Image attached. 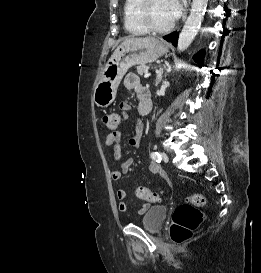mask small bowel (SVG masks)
Masks as SVG:
<instances>
[{
  "instance_id": "c3829d8e",
  "label": "small bowel",
  "mask_w": 261,
  "mask_h": 273,
  "mask_svg": "<svg viewBox=\"0 0 261 273\" xmlns=\"http://www.w3.org/2000/svg\"><path fill=\"white\" fill-rule=\"evenodd\" d=\"M124 86L135 93L136 98L138 100L139 109L142 102V97L146 92V89L141 85L139 77L134 73H128L124 77ZM130 105L127 102H123L120 104V110L122 111V120L126 122L128 120V112L130 110ZM143 133V123L139 119L137 121L134 135L129 139L128 145L131 148L137 149L140 146L141 138ZM121 133L119 130H115L108 134L106 138V145L110 148V152L114 158V160L119 161L121 159ZM134 164V159L129 158L125 162H123L119 169L113 170L111 172V177L113 180H120L123 175L127 174L130 168ZM152 172H159V169L156 165H151L150 167ZM116 195L119 202V209L121 212H127L130 209L129 204L126 202L127 193L123 188H119L116 191ZM148 208L147 204L142 205L138 213H144Z\"/></svg>"
}]
</instances>
